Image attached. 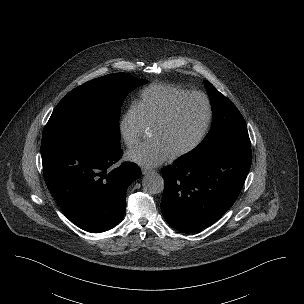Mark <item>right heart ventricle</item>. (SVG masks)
Instances as JSON below:
<instances>
[{
	"label": "right heart ventricle",
	"instance_id": "e07e8e85",
	"mask_svg": "<svg viewBox=\"0 0 304 304\" xmlns=\"http://www.w3.org/2000/svg\"><path fill=\"white\" fill-rule=\"evenodd\" d=\"M188 92L178 85L155 83L145 87L135 103L147 126L152 127L174 100Z\"/></svg>",
	"mask_w": 304,
	"mask_h": 304
}]
</instances>
